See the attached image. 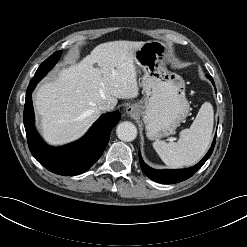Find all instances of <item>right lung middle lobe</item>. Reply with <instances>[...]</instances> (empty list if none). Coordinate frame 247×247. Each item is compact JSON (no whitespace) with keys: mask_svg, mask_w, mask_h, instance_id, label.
<instances>
[{"mask_svg":"<svg viewBox=\"0 0 247 247\" xmlns=\"http://www.w3.org/2000/svg\"><path fill=\"white\" fill-rule=\"evenodd\" d=\"M61 55V51H57L54 54H52L49 58H47L37 69L34 78L32 80H40L42 77H44L47 72L56 64L57 60L59 59Z\"/></svg>","mask_w":247,"mask_h":247,"instance_id":"obj_1","label":"right lung middle lobe"}]
</instances>
